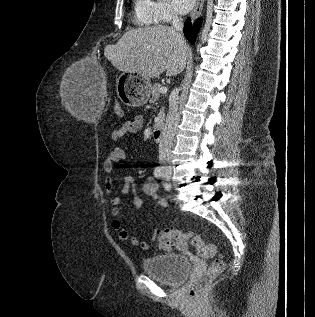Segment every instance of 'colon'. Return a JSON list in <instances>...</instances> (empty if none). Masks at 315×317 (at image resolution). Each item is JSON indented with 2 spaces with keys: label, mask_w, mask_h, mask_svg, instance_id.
<instances>
[{
  "label": "colon",
  "mask_w": 315,
  "mask_h": 317,
  "mask_svg": "<svg viewBox=\"0 0 315 317\" xmlns=\"http://www.w3.org/2000/svg\"><path fill=\"white\" fill-rule=\"evenodd\" d=\"M115 110L119 116H123V110L120 105H117ZM185 242H190L202 257H214L217 255V246L212 243H204L200 235L192 230L165 229L158 233V244L163 250H170L174 245H182ZM225 267L226 263L223 256L217 255L208 269L191 283L187 292L188 297L191 299L199 297L200 293L217 275L224 271Z\"/></svg>",
  "instance_id": "obj_1"
}]
</instances>
